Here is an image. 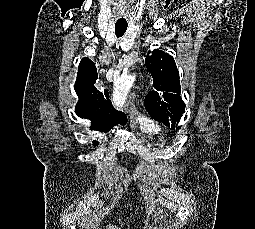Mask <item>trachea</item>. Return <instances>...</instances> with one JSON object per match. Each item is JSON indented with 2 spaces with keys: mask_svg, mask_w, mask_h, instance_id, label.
<instances>
[{
  "mask_svg": "<svg viewBox=\"0 0 255 229\" xmlns=\"http://www.w3.org/2000/svg\"><path fill=\"white\" fill-rule=\"evenodd\" d=\"M128 27L127 23H120V22H116L115 24V34L118 38L122 37L124 35V33L126 32Z\"/></svg>",
  "mask_w": 255,
  "mask_h": 229,
  "instance_id": "obj_1",
  "label": "trachea"
}]
</instances>
